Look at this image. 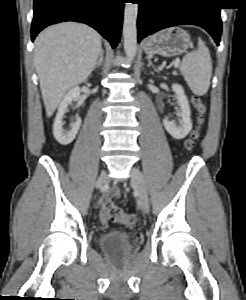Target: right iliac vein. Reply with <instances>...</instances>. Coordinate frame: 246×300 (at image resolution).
<instances>
[{
  "mask_svg": "<svg viewBox=\"0 0 246 300\" xmlns=\"http://www.w3.org/2000/svg\"><path fill=\"white\" fill-rule=\"evenodd\" d=\"M106 179H107L106 172L103 171L96 181V187L101 188L105 184Z\"/></svg>",
  "mask_w": 246,
  "mask_h": 300,
  "instance_id": "right-iliac-vein-1",
  "label": "right iliac vein"
}]
</instances>
